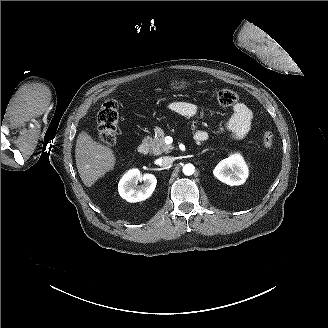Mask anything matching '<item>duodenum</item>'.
I'll list each match as a JSON object with an SVG mask.
<instances>
[{
  "label": "duodenum",
  "mask_w": 328,
  "mask_h": 328,
  "mask_svg": "<svg viewBox=\"0 0 328 328\" xmlns=\"http://www.w3.org/2000/svg\"><path fill=\"white\" fill-rule=\"evenodd\" d=\"M194 138L197 142H202L206 139V135L203 133H197V134H195ZM148 151H149V144L147 141H143L142 143L139 144L138 152L140 154L145 155L148 153Z\"/></svg>",
  "instance_id": "obj_1"
}]
</instances>
